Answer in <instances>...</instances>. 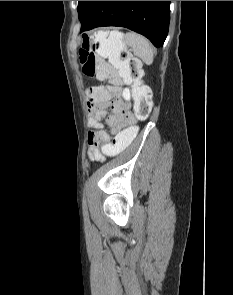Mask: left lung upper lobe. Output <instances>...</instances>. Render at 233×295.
Wrapping results in <instances>:
<instances>
[{
  "mask_svg": "<svg viewBox=\"0 0 233 295\" xmlns=\"http://www.w3.org/2000/svg\"><path fill=\"white\" fill-rule=\"evenodd\" d=\"M97 1H79L78 2V15L81 24L83 25L90 17Z\"/></svg>",
  "mask_w": 233,
  "mask_h": 295,
  "instance_id": "1",
  "label": "left lung upper lobe"
}]
</instances>
